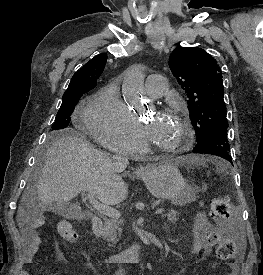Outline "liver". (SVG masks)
<instances>
[{
	"label": "liver",
	"instance_id": "1",
	"mask_svg": "<svg viewBox=\"0 0 263 275\" xmlns=\"http://www.w3.org/2000/svg\"><path fill=\"white\" fill-rule=\"evenodd\" d=\"M177 162L197 163V157L185 156ZM125 169L105 152L98 151L76 133H61L47 149L36 188L28 186L17 211V222L31 211L42 212L54 202H68L80 192H92L103 204L116 205L128 195L118 174Z\"/></svg>",
	"mask_w": 263,
	"mask_h": 275
}]
</instances>
